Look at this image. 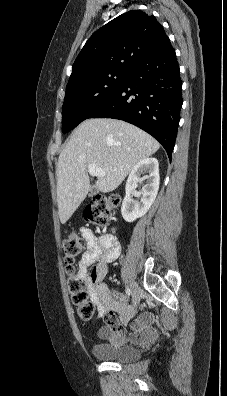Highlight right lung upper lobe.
<instances>
[{
	"instance_id": "right-lung-upper-lobe-1",
	"label": "right lung upper lobe",
	"mask_w": 227,
	"mask_h": 396,
	"mask_svg": "<svg viewBox=\"0 0 227 396\" xmlns=\"http://www.w3.org/2000/svg\"><path fill=\"white\" fill-rule=\"evenodd\" d=\"M168 43V36L153 15L141 10L128 11L88 39L73 64L67 87L104 72L130 71Z\"/></svg>"
}]
</instances>
